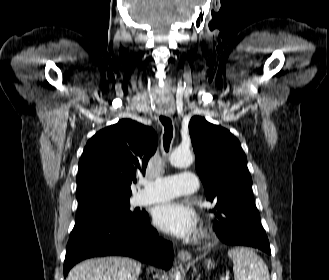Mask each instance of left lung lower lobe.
<instances>
[{
  "label": "left lung lower lobe",
  "mask_w": 329,
  "mask_h": 280,
  "mask_svg": "<svg viewBox=\"0 0 329 280\" xmlns=\"http://www.w3.org/2000/svg\"><path fill=\"white\" fill-rule=\"evenodd\" d=\"M218 237L229 245L251 246L271 254L268 238L252 199L235 208Z\"/></svg>",
  "instance_id": "1"
}]
</instances>
